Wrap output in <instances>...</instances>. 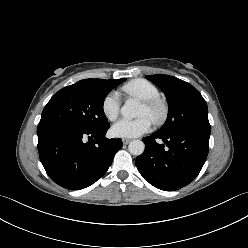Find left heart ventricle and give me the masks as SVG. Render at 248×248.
<instances>
[{"mask_svg":"<svg viewBox=\"0 0 248 248\" xmlns=\"http://www.w3.org/2000/svg\"><path fill=\"white\" fill-rule=\"evenodd\" d=\"M140 116H148V110L146 109V107L142 104L140 112H139ZM149 117V116H148Z\"/></svg>","mask_w":248,"mask_h":248,"instance_id":"1","label":"left heart ventricle"}]
</instances>
